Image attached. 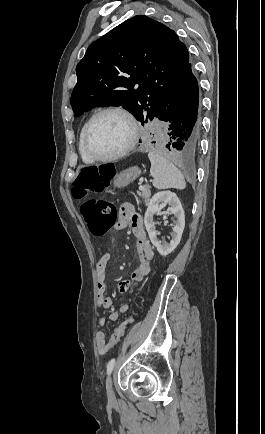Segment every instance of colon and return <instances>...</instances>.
<instances>
[{"label":"colon","instance_id":"colon-1","mask_svg":"<svg viewBox=\"0 0 265 434\" xmlns=\"http://www.w3.org/2000/svg\"><path fill=\"white\" fill-rule=\"evenodd\" d=\"M112 164H85V168H79L76 180L71 185L72 193H91L92 189H100V181H112ZM79 211L84 221L94 236L105 235L116 223L118 213L114 204L104 198H91L79 204ZM133 317L128 322H132ZM127 323H122L107 343L108 352L100 354L105 357L111 351L113 344H117L123 336Z\"/></svg>","mask_w":265,"mask_h":434}]
</instances>
